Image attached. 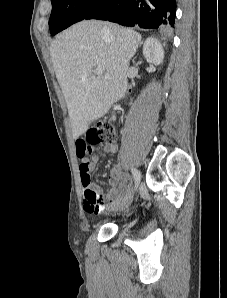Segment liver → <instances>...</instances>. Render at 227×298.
<instances>
[{
  "mask_svg": "<svg viewBox=\"0 0 227 298\" xmlns=\"http://www.w3.org/2000/svg\"><path fill=\"white\" fill-rule=\"evenodd\" d=\"M141 39L138 32L119 25L83 20L51 43L50 55L67 103L74 139L124 96L129 62ZM97 68L111 78L96 76Z\"/></svg>",
  "mask_w": 227,
  "mask_h": 298,
  "instance_id": "1",
  "label": "liver"
}]
</instances>
